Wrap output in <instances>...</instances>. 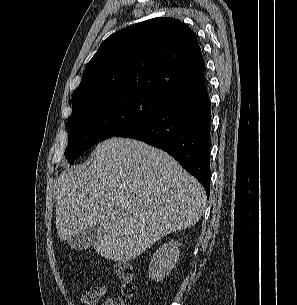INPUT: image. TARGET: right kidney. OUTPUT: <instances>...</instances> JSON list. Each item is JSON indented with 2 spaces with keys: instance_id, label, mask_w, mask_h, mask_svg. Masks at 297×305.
Wrapping results in <instances>:
<instances>
[{
  "instance_id": "ca27d5eb",
  "label": "right kidney",
  "mask_w": 297,
  "mask_h": 305,
  "mask_svg": "<svg viewBox=\"0 0 297 305\" xmlns=\"http://www.w3.org/2000/svg\"><path fill=\"white\" fill-rule=\"evenodd\" d=\"M179 245L177 242H169L160 247L153 254L149 265V278L161 281L173 269L179 258Z\"/></svg>"
}]
</instances>
